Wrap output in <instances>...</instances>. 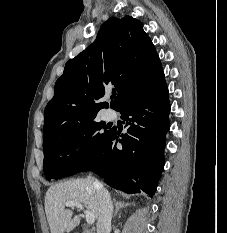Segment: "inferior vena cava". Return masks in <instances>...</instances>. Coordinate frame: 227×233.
<instances>
[{
	"mask_svg": "<svg viewBox=\"0 0 227 233\" xmlns=\"http://www.w3.org/2000/svg\"><path fill=\"white\" fill-rule=\"evenodd\" d=\"M93 183L99 198L97 233H110L113 213V205L110 194L98 180H93Z\"/></svg>",
	"mask_w": 227,
	"mask_h": 233,
	"instance_id": "inferior-vena-cava-1",
	"label": "inferior vena cava"
}]
</instances>
